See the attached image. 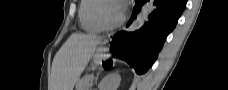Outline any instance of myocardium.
<instances>
[{
	"label": "myocardium",
	"instance_id": "f54148a6",
	"mask_svg": "<svg viewBox=\"0 0 228 90\" xmlns=\"http://www.w3.org/2000/svg\"><path fill=\"white\" fill-rule=\"evenodd\" d=\"M106 3L117 4V1H115V0H99L97 6L95 8V12H94L95 20L105 30L115 29V28L119 27L124 22L125 15L122 11L120 17L114 23H111V24L106 23L101 16V9H102L103 5Z\"/></svg>",
	"mask_w": 228,
	"mask_h": 90
}]
</instances>
